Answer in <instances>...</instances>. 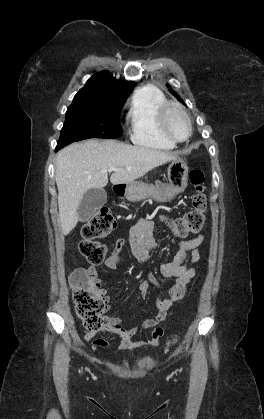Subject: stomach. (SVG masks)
Returning <instances> with one entry per match:
<instances>
[{
	"instance_id": "obj_1",
	"label": "stomach",
	"mask_w": 264,
	"mask_h": 419,
	"mask_svg": "<svg viewBox=\"0 0 264 419\" xmlns=\"http://www.w3.org/2000/svg\"><path fill=\"white\" fill-rule=\"evenodd\" d=\"M168 181H156L155 184L132 182L126 185L124 196L130 202H139L148 198L157 202H169L183 193L188 184V166L181 158L171 161L168 170Z\"/></svg>"
}]
</instances>
